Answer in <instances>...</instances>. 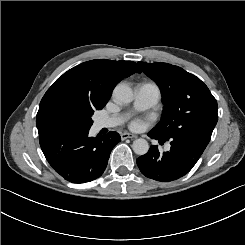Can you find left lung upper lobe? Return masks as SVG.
Instances as JSON below:
<instances>
[{"mask_svg":"<svg viewBox=\"0 0 245 245\" xmlns=\"http://www.w3.org/2000/svg\"><path fill=\"white\" fill-rule=\"evenodd\" d=\"M138 64L162 93V117L152 130L166 139L187 136L208 143L218 120V106L204 82L171 64Z\"/></svg>","mask_w":245,"mask_h":245,"instance_id":"5c2ea615","label":"left lung upper lobe"}]
</instances>
